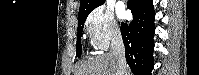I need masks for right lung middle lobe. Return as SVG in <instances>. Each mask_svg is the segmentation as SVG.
Returning <instances> with one entry per match:
<instances>
[{
  "label": "right lung middle lobe",
  "instance_id": "dd1d6c3e",
  "mask_svg": "<svg viewBox=\"0 0 199 75\" xmlns=\"http://www.w3.org/2000/svg\"><path fill=\"white\" fill-rule=\"evenodd\" d=\"M88 14L78 17V34H77V44H76V57H78V58L81 56V53H82L81 34H82L83 26H84V23H85V20H86Z\"/></svg>",
  "mask_w": 199,
  "mask_h": 75
}]
</instances>
